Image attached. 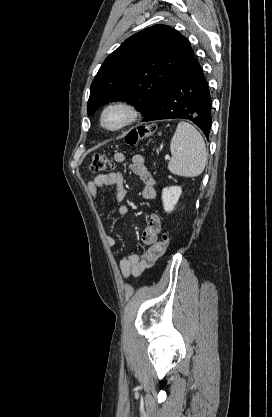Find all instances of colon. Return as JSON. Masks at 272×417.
<instances>
[{
  "mask_svg": "<svg viewBox=\"0 0 272 417\" xmlns=\"http://www.w3.org/2000/svg\"><path fill=\"white\" fill-rule=\"evenodd\" d=\"M155 131L153 125L139 126L136 129L131 130L125 137V141L129 145H135L140 140L152 135ZM114 167L113 162L105 155L96 153L92 155L89 163V170L94 173L107 172ZM170 241L168 233H164L160 239V243L163 247H167Z\"/></svg>",
  "mask_w": 272,
  "mask_h": 417,
  "instance_id": "colon-1",
  "label": "colon"
}]
</instances>
